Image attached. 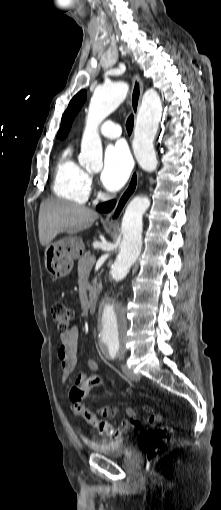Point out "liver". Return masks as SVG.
<instances>
[{"instance_id":"obj_1","label":"liver","mask_w":221,"mask_h":510,"mask_svg":"<svg viewBox=\"0 0 221 510\" xmlns=\"http://www.w3.org/2000/svg\"><path fill=\"white\" fill-rule=\"evenodd\" d=\"M98 213L88 207L59 199H47L39 210V241L47 246L60 233L73 235L92 226Z\"/></svg>"}]
</instances>
